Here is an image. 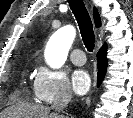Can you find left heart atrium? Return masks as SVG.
Masks as SVG:
<instances>
[{
	"mask_svg": "<svg viewBox=\"0 0 133 118\" xmlns=\"http://www.w3.org/2000/svg\"><path fill=\"white\" fill-rule=\"evenodd\" d=\"M90 77L84 70H76L72 76V87L75 93L83 95L90 88Z\"/></svg>",
	"mask_w": 133,
	"mask_h": 118,
	"instance_id": "left-heart-atrium-1",
	"label": "left heart atrium"
}]
</instances>
